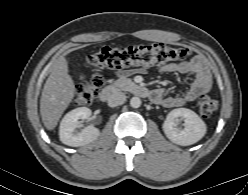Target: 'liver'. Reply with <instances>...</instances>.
Here are the masks:
<instances>
[{
    "label": "liver",
    "mask_w": 248,
    "mask_h": 195,
    "mask_svg": "<svg viewBox=\"0 0 248 195\" xmlns=\"http://www.w3.org/2000/svg\"><path fill=\"white\" fill-rule=\"evenodd\" d=\"M74 96V81L68 73L67 60L61 56L51 66V73L44 84L40 99L41 118L48 130L57 126Z\"/></svg>",
    "instance_id": "liver-1"
}]
</instances>
